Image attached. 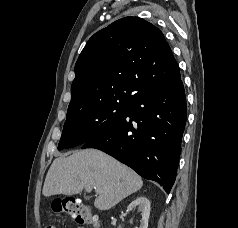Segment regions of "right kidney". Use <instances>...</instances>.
<instances>
[{
    "mask_svg": "<svg viewBox=\"0 0 238 228\" xmlns=\"http://www.w3.org/2000/svg\"><path fill=\"white\" fill-rule=\"evenodd\" d=\"M135 208H137L138 211L141 212L142 216L139 228H148V220L150 216V201L143 196L137 197V199L132 201L127 207L128 211H132Z\"/></svg>",
    "mask_w": 238,
    "mask_h": 228,
    "instance_id": "ca27d5eb",
    "label": "right kidney"
}]
</instances>
